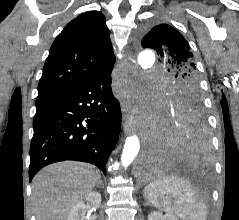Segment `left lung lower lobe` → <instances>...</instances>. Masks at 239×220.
<instances>
[{
	"instance_id": "0a47b994",
	"label": "left lung lower lobe",
	"mask_w": 239,
	"mask_h": 220,
	"mask_svg": "<svg viewBox=\"0 0 239 220\" xmlns=\"http://www.w3.org/2000/svg\"><path fill=\"white\" fill-rule=\"evenodd\" d=\"M155 135L140 164L146 174L166 171L176 164L197 163L210 150L204 112L198 108H163Z\"/></svg>"
}]
</instances>
